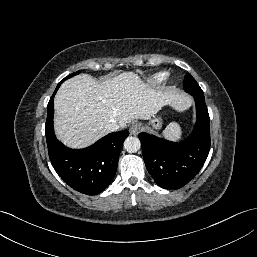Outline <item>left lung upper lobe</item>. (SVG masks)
Instances as JSON below:
<instances>
[{"instance_id":"1","label":"left lung upper lobe","mask_w":257,"mask_h":257,"mask_svg":"<svg viewBox=\"0 0 257 257\" xmlns=\"http://www.w3.org/2000/svg\"><path fill=\"white\" fill-rule=\"evenodd\" d=\"M184 89L191 95H204L196 80L189 73L184 78Z\"/></svg>"}]
</instances>
